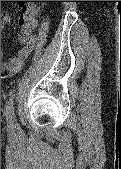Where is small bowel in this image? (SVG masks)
Here are the masks:
<instances>
[{
  "mask_svg": "<svg viewBox=\"0 0 121 169\" xmlns=\"http://www.w3.org/2000/svg\"><path fill=\"white\" fill-rule=\"evenodd\" d=\"M36 12V7L32 5H27L23 8L22 14L19 17L20 45L14 56L1 63V74L3 77H7L18 72L31 53L36 42L34 33L37 26L35 19ZM10 20V15L8 13H3L2 27L6 23H9Z\"/></svg>",
  "mask_w": 121,
  "mask_h": 169,
  "instance_id": "1",
  "label": "small bowel"
}]
</instances>
